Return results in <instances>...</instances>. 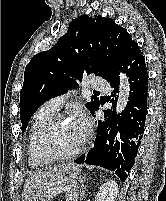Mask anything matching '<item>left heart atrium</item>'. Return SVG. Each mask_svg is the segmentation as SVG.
Returning a JSON list of instances; mask_svg holds the SVG:
<instances>
[{
	"label": "left heart atrium",
	"instance_id": "39dd6f15",
	"mask_svg": "<svg viewBox=\"0 0 166 201\" xmlns=\"http://www.w3.org/2000/svg\"><path fill=\"white\" fill-rule=\"evenodd\" d=\"M71 123L79 133L80 139L83 143L91 130L89 117L82 111H76L71 117Z\"/></svg>",
	"mask_w": 166,
	"mask_h": 201
}]
</instances>
